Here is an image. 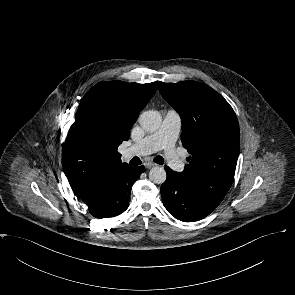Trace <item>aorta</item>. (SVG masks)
I'll use <instances>...</instances> for the list:
<instances>
[{"mask_svg":"<svg viewBox=\"0 0 295 295\" xmlns=\"http://www.w3.org/2000/svg\"><path fill=\"white\" fill-rule=\"evenodd\" d=\"M162 122L161 114L158 111H145L139 116L140 126L147 132H155ZM166 171L161 166H155L149 171V179L155 184H163L166 180Z\"/></svg>","mask_w":295,"mask_h":295,"instance_id":"1","label":"aorta"}]
</instances>
